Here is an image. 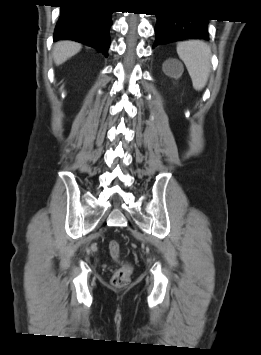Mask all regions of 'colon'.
I'll use <instances>...</instances> for the list:
<instances>
[{
    "instance_id": "colon-1",
    "label": "colon",
    "mask_w": 261,
    "mask_h": 355,
    "mask_svg": "<svg viewBox=\"0 0 261 355\" xmlns=\"http://www.w3.org/2000/svg\"><path fill=\"white\" fill-rule=\"evenodd\" d=\"M110 256L119 261L120 258V245L117 241L112 240L108 244ZM132 266L129 263L122 262L121 266L115 271L112 277V284L117 288H122L128 285L132 274Z\"/></svg>"
}]
</instances>
